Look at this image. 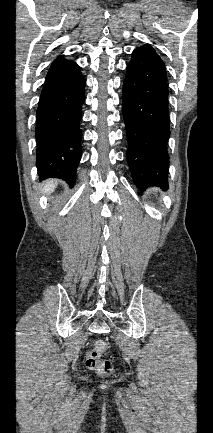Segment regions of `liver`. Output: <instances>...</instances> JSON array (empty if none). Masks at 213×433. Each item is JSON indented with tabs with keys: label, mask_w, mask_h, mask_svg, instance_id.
<instances>
[{
	"label": "liver",
	"mask_w": 213,
	"mask_h": 433,
	"mask_svg": "<svg viewBox=\"0 0 213 433\" xmlns=\"http://www.w3.org/2000/svg\"><path fill=\"white\" fill-rule=\"evenodd\" d=\"M56 186L57 182L55 180H47L43 183V192L47 194L51 193L54 191Z\"/></svg>",
	"instance_id": "1"
}]
</instances>
